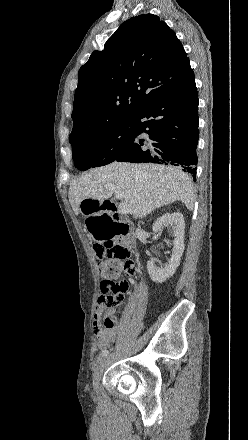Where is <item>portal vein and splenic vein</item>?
I'll return each mask as SVG.
<instances>
[{"instance_id": "1", "label": "portal vein and splenic vein", "mask_w": 248, "mask_h": 440, "mask_svg": "<svg viewBox=\"0 0 248 440\" xmlns=\"http://www.w3.org/2000/svg\"><path fill=\"white\" fill-rule=\"evenodd\" d=\"M108 189L111 190L113 193H115L116 198H118L120 200L123 199V195L121 194L120 190L117 187L108 186ZM119 211H120V213H123V214H128L131 212V210L128 208V206L124 203H121L119 205Z\"/></svg>"}]
</instances>
